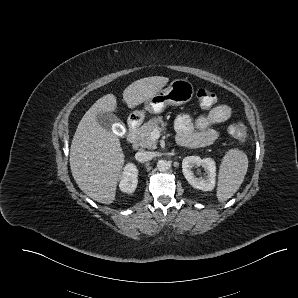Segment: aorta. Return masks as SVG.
I'll use <instances>...</instances> for the list:
<instances>
[{
  "instance_id": "762f6f07",
  "label": "aorta",
  "mask_w": 298,
  "mask_h": 298,
  "mask_svg": "<svg viewBox=\"0 0 298 298\" xmlns=\"http://www.w3.org/2000/svg\"><path fill=\"white\" fill-rule=\"evenodd\" d=\"M156 167L160 172H164L170 168V164L166 159H159L156 162Z\"/></svg>"
}]
</instances>
